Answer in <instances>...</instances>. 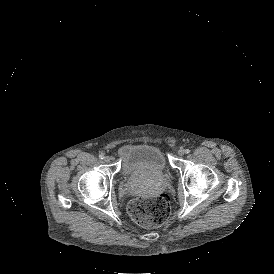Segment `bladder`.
I'll return each instance as SVG.
<instances>
[{
    "label": "bladder",
    "instance_id": "31cf9c89",
    "mask_svg": "<svg viewBox=\"0 0 274 274\" xmlns=\"http://www.w3.org/2000/svg\"><path fill=\"white\" fill-rule=\"evenodd\" d=\"M122 175L151 173L154 176L165 175L168 162L161 149L151 144H121L116 148Z\"/></svg>",
    "mask_w": 274,
    "mask_h": 274
}]
</instances>
